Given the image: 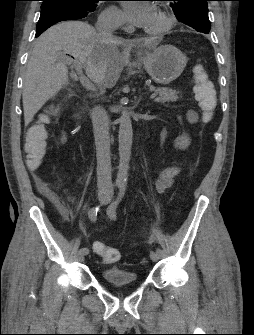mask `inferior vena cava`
<instances>
[{
	"label": "inferior vena cava",
	"instance_id": "602c4592",
	"mask_svg": "<svg viewBox=\"0 0 254 335\" xmlns=\"http://www.w3.org/2000/svg\"><path fill=\"white\" fill-rule=\"evenodd\" d=\"M99 35L111 37L117 29L114 21L107 17H100L95 25ZM92 123L97 156V186L99 190L110 191L112 189L111 158L109 139V118L104 108H93Z\"/></svg>",
	"mask_w": 254,
	"mask_h": 335
}]
</instances>
